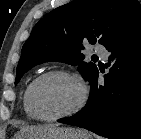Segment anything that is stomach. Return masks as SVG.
<instances>
[{"mask_svg":"<svg viewBox=\"0 0 141 139\" xmlns=\"http://www.w3.org/2000/svg\"><path fill=\"white\" fill-rule=\"evenodd\" d=\"M14 139H92V137L83 129L52 125L19 133Z\"/></svg>","mask_w":141,"mask_h":139,"instance_id":"0dacf381","label":"stomach"}]
</instances>
